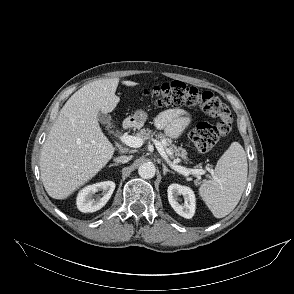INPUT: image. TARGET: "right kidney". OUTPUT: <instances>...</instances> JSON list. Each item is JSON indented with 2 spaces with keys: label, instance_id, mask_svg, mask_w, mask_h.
Here are the masks:
<instances>
[{
  "label": "right kidney",
  "instance_id": "right-kidney-1",
  "mask_svg": "<svg viewBox=\"0 0 294 294\" xmlns=\"http://www.w3.org/2000/svg\"><path fill=\"white\" fill-rule=\"evenodd\" d=\"M114 189L115 183L113 181L99 182L85 187L77 196V208L84 213H91L100 210L111 198ZM98 191H102V196L94 199L93 195Z\"/></svg>",
  "mask_w": 294,
  "mask_h": 294
}]
</instances>
